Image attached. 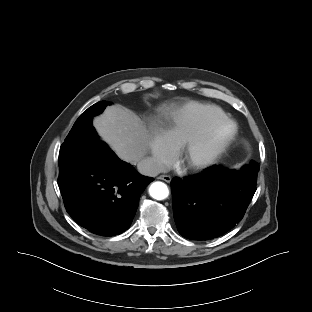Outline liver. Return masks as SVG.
I'll use <instances>...</instances> for the list:
<instances>
[{"mask_svg":"<svg viewBox=\"0 0 312 312\" xmlns=\"http://www.w3.org/2000/svg\"><path fill=\"white\" fill-rule=\"evenodd\" d=\"M174 105H162L159 111L167 113ZM93 125L110 148L124 161L136 164L147 153L149 133L140 118L120 105H112L94 118Z\"/></svg>","mask_w":312,"mask_h":312,"instance_id":"1","label":"liver"}]
</instances>
